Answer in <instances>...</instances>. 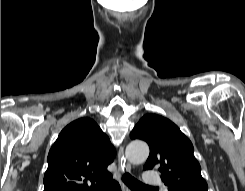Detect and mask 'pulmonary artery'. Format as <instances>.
<instances>
[{
  "instance_id": "obj_1",
  "label": "pulmonary artery",
  "mask_w": 245,
  "mask_h": 191,
  "mask_svg": "<svg viewBox=\"0 0 245 191\" xmlns=\"http://www.w3.org/2000/svg\"><path fill=\"white\" fill-rule=\"evenodd\" d=\"M144 183L148 186H159L162 184L160 177L157 173L146 171L143 173Z\"/></svg>"
}]
</instances>
